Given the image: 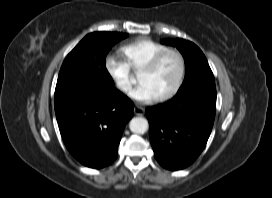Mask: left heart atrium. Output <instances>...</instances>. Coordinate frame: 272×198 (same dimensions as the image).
<instances>
[{
	"mask_svg": "<svg viewBox=\"0 0 272 198\" xmlns=\"http://www.w3.org/2000/svg\"><path fill=\"white\" fill-rule=\"evenodd\" d=\"M129 96L136 102L149 103L156 99L154 92L151 88L144 83H140L137 87L130 91Z\"/></svg>",
	"mask_w": 272,
	"mask_h": 198,
	"instance_id": "obj_1",
	"label": "left heart atrium"
}]
</instances>
